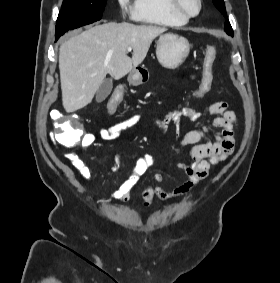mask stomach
Masks as SVG:
<instances>
[{
    "label": "stomach",
    "instance_id": "stomach-1",
    "mask_svg": "<svg viewBox=\"0 0 280 283\" xmlns=\"http://www.w3.org/2000/svg\"><path fill=\"white\" fill-rule=\"evenodd\" d=\"M189 51L190 44L188 40L176 33L163 34L157 41V59L167 69L179 67L188 57ZM146 73L145 68H135L130 72L128 82L134 86L140 85L145 81Z\"/></svg>",
    "mask_w": 280,
    "mask_h": 283
}]
</instances>
